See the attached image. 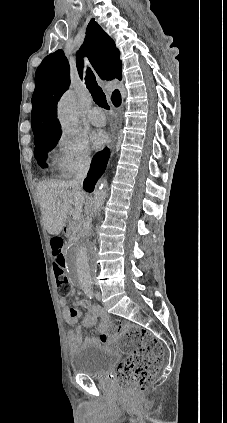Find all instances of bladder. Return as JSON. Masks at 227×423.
<instances>
[{"instance_id":"obj_1","label":"bladder","mask_w":227,"mask_h":423,"mask_svg":"<svg viewBox=\"0 0 227 423\" xmlns=\"http://www.w3.org/2000/svg\"><path fill=\"white\" fill-rule=\"evenodd\" d=\"M119 360L115 352L105 351L96 344L86 345L71 357V370L95 380H103Z\"/></svg>"}]
</instances>
